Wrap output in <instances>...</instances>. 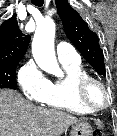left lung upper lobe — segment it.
Wrapping results in <instances>:
<instances>
[{"mask_svg": "<svg viewBox=\"0 0 117 136\" xmlns=\"http://www.w3.org/2000/svg\"><path fill=\"white\" fill-rule=\"evenodd\" d=\"M56 6L68 39L97 73L105 76L103 52L99 46L97 34L89 29L88 24L70 6L67 0H56Z\"/></svg>", "mask_w": 117, "mask_h": 136, "instance_id": "5c2ea615", "label": "left lung upper lobe"}]
</instances>
